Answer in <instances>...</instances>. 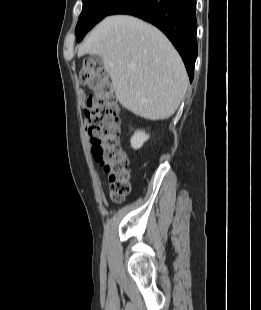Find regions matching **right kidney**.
<instances>
[{
  "mask_svg": "<svg viewBox=\"0 0 261 310\" xmlns=\"http://www.w3.org/2000/svg\"><path fill=\"white\" fill-rule=\"evenodd\" d=\"M149 139V135L144 131H136L131 137V146L133 149H139L143 146L144 142Z\"/></svg>",
  "mask_w": 261,
  "mask_h": 310,
  "instance_id": "ca27d5eb",
  "label": "right kidney"
}]
</instances>
